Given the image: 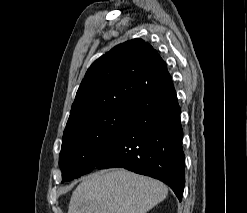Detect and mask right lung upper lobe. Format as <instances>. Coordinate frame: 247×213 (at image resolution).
<instances>
[{"label": "right lung upper lobe", "instance_id": "right-lung-upper-lobe-1", "mask_svg": "<svg viewBox=\"0 0 247 213\" xmlns=\"http://www.w3.org/2000/svg\"><path fill=\"white\" fill-rule=\"evenodd\" d=\"M171 81L166 63L142 39L119 44L87 70L64 133L105 109Z\"/></svg>", "mask_w": 247, "mask_h": 213}]
</instances>
